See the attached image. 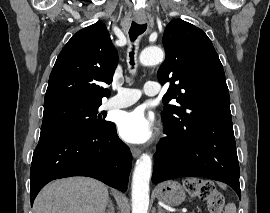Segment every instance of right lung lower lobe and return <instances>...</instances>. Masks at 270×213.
<instances>
[{
    "label": "right lung lower lobe",
    "mask_w": 270,
    "mask_h": 213,
    "mask_svg": "<svg viewBox=\"0 0 270 213\" xmlns=\"http://www.w3.org/2000/svg\"><path fill=\"white\" fill-rule=\"evenodd\" d=\"M131 161V152L112 122L98 132L41 129L30 171L31 205L48 182L71 176L92 177L126 191Z\"/></svg>",
    "instance_id": "obj_1"
}]
</instances>
